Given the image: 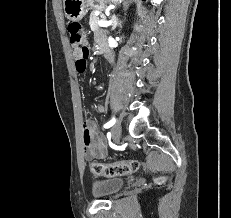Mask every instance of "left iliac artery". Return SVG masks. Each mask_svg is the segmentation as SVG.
Listing matches in <instances>:
<instances>
[{
	"mask_svg": "<svg viewBox=\"0 0 231 218\" xmlns=\"http://www.w3.org/2000/svg\"><path fill=\"white\" fill-rule=\"evenodd\" d=\"M115 118L111 119L109 122H107L105 125H104V128H109L111 127L114 123H115Z\"/></svg>",
	"mask_w": 231,
	"mask_h": 218,
	"instance_id": "44dca946",
	"label": "left iliac artery"
}]
</instances>
